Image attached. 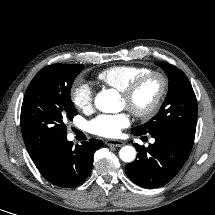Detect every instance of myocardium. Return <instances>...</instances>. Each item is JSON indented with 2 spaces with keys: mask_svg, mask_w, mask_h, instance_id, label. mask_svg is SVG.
Here are the masks:
<instances>
[{
  "mask_svg": "<svg viewBox=\"0 0 215 215\" xmlns=\"http://www.w3.org/2000/svg\"><path fill=\"white\" fill-rule=\"evenodd\" d=\"M150 79H156L159 83L158 92L151 102V104L145 108H137L132 105V101L140 90V88ZM168 91V79L166 75L157 70H149L146 73L135 78L129 83L125 89L121 91L122 97L128 102L127 108L138 118L147 120L153 117L160 109L163 100Z\"/></svg>",
  "mask_w": 215,
  "mask_h": 215,
  "instance_id": "1",
  "label": "myocardium"
}]
</instances>
